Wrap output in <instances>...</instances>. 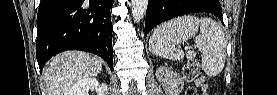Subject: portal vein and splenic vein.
<instances>
[{
	"label": "portal vein and splenic vein",
	"instance_id": "portal-vein-and-splenic-vein-1",
	"mask_svg": "<svg viewBox=\"0 0 277 95\" xmlns=\"http://www.w3.org/2000/svg\"><path fill=\"white\" fill-rule=\"evenodd\" d=\"M189 48V46H185V49L187 50Z\"/></svg>",
	"mask_w": 277,
	"mask_h": 95
}]
</instances>
